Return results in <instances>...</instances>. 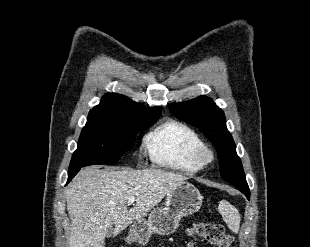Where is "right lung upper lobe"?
<instances>
[{
	"label": "right lung upper lobe",
	"mask_w": 310,
	"mask_h": 247,
	"mask_svg": "<svg viewBox=\"0 0 310 247\" xmlns=\"http://www.w3.org/2000/svg\"><path fill=\"white\" fill-rule=\"evenodd\" d=\"M161 111V107L146 109L141 104L123 95L107 93L103 96L100 104L89 112V116H109L130 120H146L160 116Z\"/></svg>",
	"instance_id": "cb5924a9"
}]
</instances>
